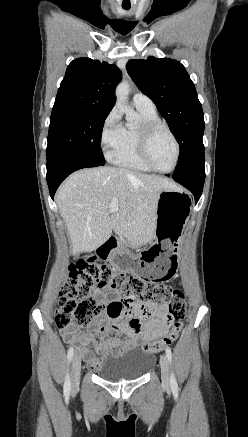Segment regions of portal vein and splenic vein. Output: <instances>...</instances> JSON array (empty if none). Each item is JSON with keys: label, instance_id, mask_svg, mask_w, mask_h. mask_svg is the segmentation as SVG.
Returning <instances> with one entry per match:
<instances>
[{"label": "portal vein and splenic vein", "instance_id": "portal-vein-and-splenic-vein-1", "mask_svg": "<svg viewBox=\"0 0 248 437\" xmlns=\"http://www.w3.org/2000/svg\"><path fill=\"white\" fill-rule=\"evenodd\" d=\"M118 210H119L118 201H117V199L115 197H112L111 198V204H110V207H109V211L113 213V212H116Z\"/></svg>", "mask_w": 248, "mask_h": 437}]
</instances>
